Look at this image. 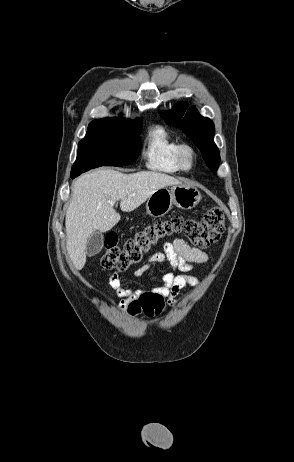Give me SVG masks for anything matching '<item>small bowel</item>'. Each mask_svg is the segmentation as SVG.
<instances>
[{
    "instance_id": "obj_1",
    "label": "small bowel",
    "mask_w": 294,
    "mask_h": 462,
    "mask_svg": "<svg viewBox=\"0 0 294 462\" xmlns=\"http://www.w3.org/2000/svg\"><path fill=\"white\" fill-rule=\"evenodd\" d=\"M208 259L209 256L206 252L191 247L184 240L177 238L171 243L164 244L163 250L149 257L147 263L136 269L133 275L139 277L158 264H169L172 271L162 275L163 285L147 291L166 298L167 304L174 306L177 295L184 287H195L198 284V279L189 274L193 270V265L206 263ZM174 271H179L181 274H174ZM109 286L117 297L123 299L118 304L120 308H124L131 300L137 299L142 293L147 292L142 289L123 288L116 273L110 276Z\"/></svg>"
}]
</instances>
